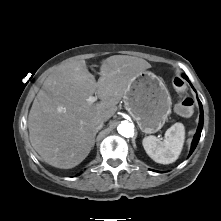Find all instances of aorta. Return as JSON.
<instances>
[{
    "label": "aorta",
    "instance_id": "obj_1",
    "mask_svg": "<svg viewBox=\"0 0 221 221\" xmlns=\"http://www.w3.org/2000/svg\"><path fill=\"white\" fill-rule=\"evenodd\" d=\"M118 133L122 136L129 138L134 134V125L127 121H122L117 127Z\"/></svg>",
    "mask_w": 221,
    "mask_h": 221
}]
</instances>
